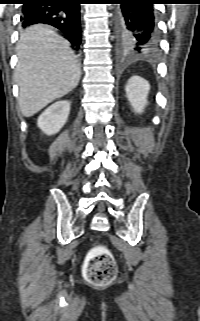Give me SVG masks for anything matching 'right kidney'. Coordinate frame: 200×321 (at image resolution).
<instances>
[{
	"instance_id": "obj_1",
	"label": "right kidney",
	"mask_w": 200,
	"mask_h": 321,
	"mask_svg": "<svg viewBox=\"0 0 200 321\" xmlns=\"http://www.w3.org/2000/svg\"><path fill=\"white\" fill-rule=\"evenodd\" d=\"M69 111V101H57L38 117L37 125L47 135L56 134L65 125Z\"/></svg>"
}]
</instances>
